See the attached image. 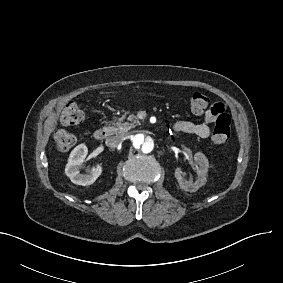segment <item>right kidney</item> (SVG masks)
<instances>
[{"label":"right kidney","instance_id":"1","mask_svg":"<svg viewBox=\"0 0 283 283\" xmlns=\"http://www.w3.org/2000/svg\"><path fill=\"white\" fill-rule=\"evenodd\" d=\"M88 153V149L85 144H79L70 153L68 163L65 167V173L70 180L77 185H91L101 175L102 167L97 165L96 168L88 174H80L79 170L84 162V159Z\"/></svg>","mask_w":283,"mask_h":283}]
</instances>
